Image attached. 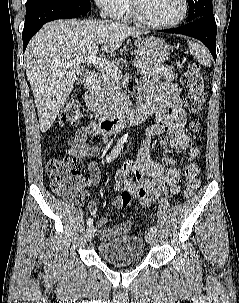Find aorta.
Instances as JSON below:
<instances>
[{
    "label": "aorta",
    "instance_id": "obj_1",
    "mask_svg": "<svg viewBox=\"0 0 239 303\" xmlns=\"http://www.w3.org/2000/svg\"><path fill=\"white\" fill-rule=\"evenodd\" d=\"M127 138H128V134H125V135L123 136V140H127Z\"/></svg>",
    "mask_w": 239,
    "mask_h": 303
}]
</instances>
